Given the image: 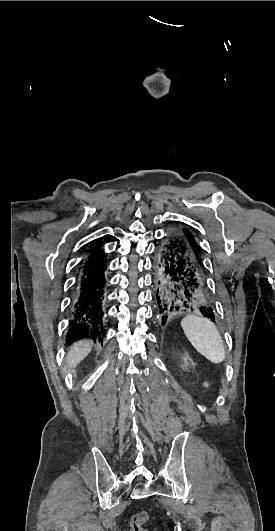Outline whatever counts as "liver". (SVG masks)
I'll list each match as a JSON object with an SVG mask.
<instances>
[{
	"mask_svg": "<svg viewBox=\"0 0 275 531\" xmlns=\"http://www.w3.org/2000/svg\"><path fill=\"white\" fill-rule=\"evenodd\" d=\"M89 353H91V343H87V341H78V343H74L68 353L67 367L74 369V367H77L78 363H81Z\"/></svg>",
	"mask_w": 275,
	"mask_h": 531,
	"instance_id": "obj_1",
	"label": "liver"
}]
</instances>
